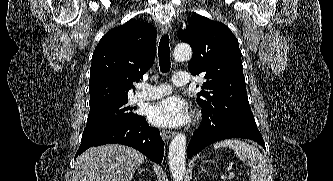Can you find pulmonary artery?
Instances as JSON below:
<instances>
[{"label": "pulmonary artery", "instance_id": "e3ab8cb5", "mask_svg": "<svg viewBox=\"0 0 333 181\" xmlns=\"http://www.w3.org/2000/svg\"><path fill=\"white\" fill-rule=\"evenodd\" d=\"M173 82L177 86H186L189 84V75L184 72L176 73ZM142 88L143 90L134 96L135 102L159 99L171 92L170 87L164 83L158 85L146 84Z\"/></svg>", "mask_w": 333, "mask_h": 181}]
</instances>
